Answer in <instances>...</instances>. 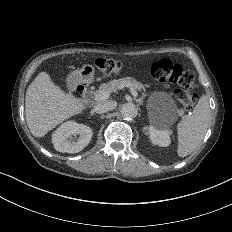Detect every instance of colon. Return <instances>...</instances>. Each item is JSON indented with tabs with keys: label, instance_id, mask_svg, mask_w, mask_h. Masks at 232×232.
I'll list each match as a JSON object with an SVG mask.
<instances>
[{
	"label": "colon",
	"instance_id": "5ec220e1",
	"mask_svg": "<svg viewBox=\"0 0 232 232\" xmlns=\"http://www.w3.org/2000/svg\"><path fill=\"white\" fill-rule=\"evenodd\" d=\"M119 61L114 59L105 60L98 58L94 62V70L98 73H118ZM151 75L157 82H177L178 86H185L182 94L178 97V102H182L180 111H194V103L198 102V97H194L198 86H193L197 82L195 74L188 70L175 68L174 63L169 59L155 62L151 67Z\"/></svg>",
	"mask_w": 232,
	"mask_h": 232
}]
</instances>
